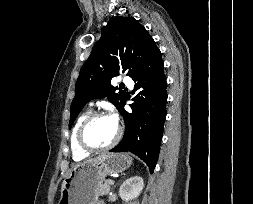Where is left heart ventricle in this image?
I'll return each mask as SVG.
<instances>
[{
  "instance_id": "b2bd125f",
  "label": "left heart ventricle",
  "mask_w": 253,
  "mask_h": 204,
  "mask_svg": "<svg viewBox=\"0 0 253 204\" xmlns=\"http://www.w3.org/2000/svg\"><path fill=\"white\" fill-rule=\"evenodd\" d=\"M117 125L110 118L100 117L86 129L85 138L93 146L101 147L109 144L115 137Z\"/></svg>"
}]
</instances>
